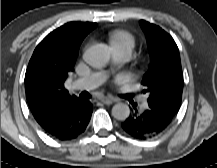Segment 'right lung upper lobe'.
I'll return each instance as SVG.
<instances>
[{
  "label": "right lung upper lobe",
  "mask_w": 217,
  "mask_h": 168,
  "mask_svg": "<svg viewBox=\"0 0 217 168\" xmlns=\"http://www.w3.org/2000/svg\"><path fill=\"white\" fill-rule=\"evenodd\" d=\"M96 23L70 22L48 34L36 47L25 74L26 98L38 123L59 108L80 99L64 88L73 70L79 47Z\"/></svg>",
  "instance_id": "1"
}]
</instances>
